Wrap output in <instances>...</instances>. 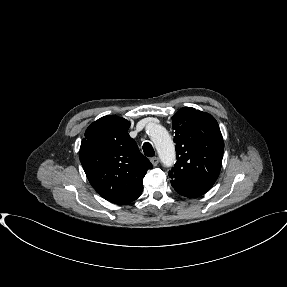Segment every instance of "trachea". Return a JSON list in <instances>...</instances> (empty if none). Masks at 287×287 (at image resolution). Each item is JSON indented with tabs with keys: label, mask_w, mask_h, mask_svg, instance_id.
Listing matches in <instances>:
<instances>
[{
	"label": "trachea",
	"mask_w": 287,
	"mask_h": 287,
	"mask_svg": "<svg viewBox=\"0 0 287 287\" xmlns=\"http://www.w3.org/2000/svg\"><path fill=\"white\" fill-rule=\"evenodd\" d=\"M143 152L147 157H153L155 155L154 149L149 142L143 144Z\"/></svg>",
	"instance_id": "1"
}]
</instances>
